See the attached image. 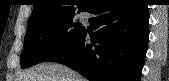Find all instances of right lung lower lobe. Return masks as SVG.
Listing matches in <instances>:
<instances>
[{
	"instance_id": "1",
	"label": "right lung lower lobe",
	"mask_w": 169,
	"mask_h": 81,
	"mask_svg": "<svg viewBox=\"0 0 169 81\" xmlns=\"http://www.w3.org/2000/svg\"><path fill=\"white\" fill-rule=\"evenodd\" d=\"M85 28L45 61L67 65L90 81H140L147 51L149 14L140 0H94ZM94 44H88L87 40Z\"/></svg>"
}]
</instances>
